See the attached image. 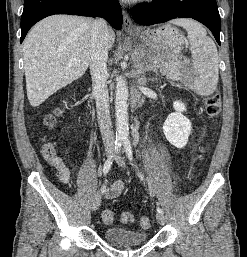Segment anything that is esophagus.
<instances>
[{
    "label": "esophagus",
    "instance_id": "1",
    "mask_svg": "<svg viewBox=\"0 0 247 257\" xmlns=\"http://www.w3.org/2000/svg\"><path fill=\"white\" fill-rule=\"evenodd\" d=\"M123 28L126 32H135L138 30L126 11H123Z\"/></svg>",
    "mask_w": 247,
    "mask_h": 257
}]
</instances>
